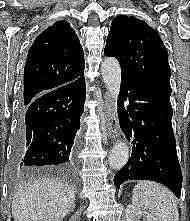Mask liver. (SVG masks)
Masks as SVG:
<instances>
[{"mask_svg": "<svg viewBox=\"0 0 190 221\" xmlns=\"http://www.w3.org/2000/svg\"><path fill=\"white\" fill-rule=\"evenodd\" d=\"M75 191L57 179L29 181L14 193L11 212L14 221H60L72 208Z\"/></svg>", "mask_w": 190, "mask_h": 221, "instance_id": "6515ba94", "label": "liver"}]
</instances>
